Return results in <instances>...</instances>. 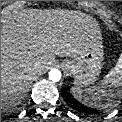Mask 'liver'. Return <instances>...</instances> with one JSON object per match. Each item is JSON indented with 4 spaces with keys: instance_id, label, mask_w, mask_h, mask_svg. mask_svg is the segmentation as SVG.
Returning a JSON list of instances; mask_svg holds the SVG:
<instances>
[{
    "instance_id": "obj_1",
    "label": "liver",
    "mask_w": 122,
    "mask_h": 122,
    "mask_svg": "<svg viewBox=\"0 0 122 122\" xmlns=\"http://www.w3.org/2000/svg\"><path fill=\"white\" fill-rule=\"evenodd\" d=\"M101 43L97 21L80 12L28 9L1 17V104L25 93L55 56L75 58Z\"/></svg>"
}]
</instances>
